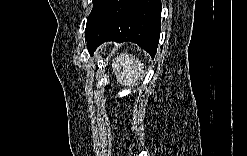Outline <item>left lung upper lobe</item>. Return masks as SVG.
<instances>
[{"instance_id":"5c2ea615","label":"left lung upper lobe","mask_w":247,"mask_h":156,"mask_svg":"<svg viewBox=\"0 0 247 156\" xmlns=\"http://www.w3.org/2000/svg\"><path fill=\"white\" fill-rule=\"evenodd\" d=\"M104 0H93V9L87 19V24H86V30L88 28V26L90 25L91 21L93 20L95 13L97 12V10L99 9V7L101 6V4L103 3ZM85 30V31H86Z\"/></svg>"}]
</instances>
